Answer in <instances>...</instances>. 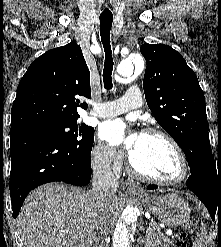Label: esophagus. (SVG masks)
I'll list each match as a JSON object with an SVG mask.
<instances>
[{"label":"esophagus","instance_id":"obj_1","mask_svg":"<svg viewBox=\"0 0 221 247\" xmlns=\"http://www.w3.org/2000/svg\"><path fill=\"white\" fill-rule=\"evenodd\" d=\"M128 192L129 193H140L141 190H140V188L138 186L132 185V186L128 187Z\"/></svg>","mask_w":221,"mask_h":247}]
</instances>
